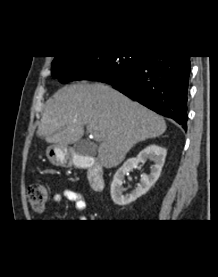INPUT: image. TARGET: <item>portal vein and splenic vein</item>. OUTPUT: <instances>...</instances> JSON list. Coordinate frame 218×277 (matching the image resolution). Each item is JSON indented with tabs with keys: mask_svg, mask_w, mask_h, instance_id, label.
Listing matches in <instances>:
<instances>
[{
	"mask_svg": "<svg viewBox=\"0 0 218 277\" xmlns=\"http://www.w3.org/2000/svg\"><path fill=\"white\" fill-rule=\"evenodd\" d=\"M87 130L90 131V132L92 133L91 127H90V126H87ZM92 134H93L94 138H95L97 141H99L98 135H96V134H94V133H92Z\"/></svg>",
	"mask_w": 218,
	"mask_h": 277,
	"instance_id": "1",
	"label": "portal vein and splenic vein"
}]
</instances>
